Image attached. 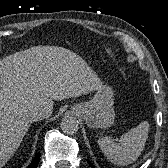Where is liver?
<instances>
[{
    "instance_id": "liver-1",
    "label": "liver",
    "mask_w": 168,
    "mask_h": 168,
    "mask_svg": "<svg viewBox=\"0 0 168 168\" xmlns=\"http://www.w3.org/2000/svg\"><path fill=\"white\" fill-rule=\"evenodd\" d=\"M100 86L87 63L63 47L35 46L0 60V167L27 133L31 109L52 113L53 100L79 97Z\"/></svg>"
}]
</instances>
